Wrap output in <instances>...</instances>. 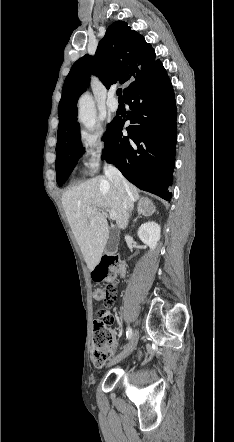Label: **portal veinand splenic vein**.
<instances>
[{"mask_svg":"<svg viewBox=\"0 0 234 442\" xmlns=\"http://www.w3.org/2000/svg\"><path fill=\"white\" fill-rule=\"evenodd\" d=\"M106 211L109 212V216L112 220H116V213L114 211H110V210H106ZM87 214H92L91 208L87 209Z\"/></svg>","mask_w":234,"mask_h":442,"instance_id":"1","label":"portal vein and splenic vein"}]
</instances>
